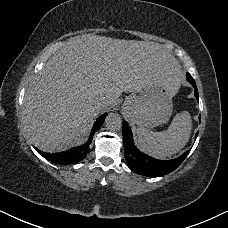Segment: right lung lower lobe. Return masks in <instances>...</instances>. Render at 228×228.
Segmentation results:
<instances>
[{
	"mask_svg": "<svg viewBox=\"0 0 228 228\" xmlns=\"http://www.w3.org/2000/svg\"><path fill=\"white\" fill-rule=\"evenodd\" d=\"M106 116H107V113L101 115L96 120L88 141L82 146L74 147L68 151L55 153V154H49V153L41 152L39 150H37V152L47 160L60 165L72 164L80 161L81 159H84L86 155L90 152L89 146L92 142L94 133L101 128Z\"/></svg>",
	"mask_w": 228,
	"mask_h": 228,
	"instance_id": "1",
	"label": "right lung lower lobe"
}]
</instances>
